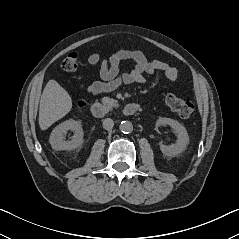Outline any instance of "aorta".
Instances as JSON below:
<instances>
[{
    "label": "aorta",
    "instance_id": "1",
    "mask_svg": "<svg viewBox=\"0 0 239 239\" xmlns=\"http://www.w3.org/2000/svg\"><path fill=\"white\" fill-rule=\"evenodd\" d=\"M119 128L121 132L128 134L133 131V124L130 121H122Z\"/></svg>",
    "mask_w": 239,
    "mask_h": 239
}]
</instances>
